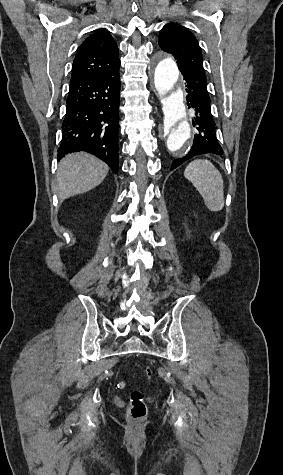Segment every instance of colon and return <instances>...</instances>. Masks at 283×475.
Returning a JSON list of instances; mask_svg holds the SVG:
<instances>
[{
	"label": "colon",
	"instance_id": "1",
	"mask_svg": "<svg viewBox=\"0 0 283 475\" xmlns=\"http://www.w3.org/2000/svg\"><path fill=\"white\" fill-rule=\"evenodd\" d=\"M154 374V369L150 366L144 370V378L150 380ZM147 405L145 403L144 392L142 389H135L130 394L128 416L135 420H144L147 416Z\"/></svg>",
	"mask_w": 283,
	"mask_h": 475
}]
</instances>
